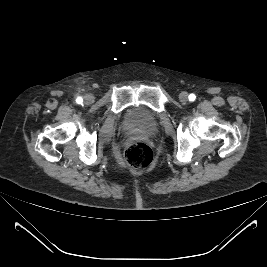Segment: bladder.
Wrapping results in <instances>:
<instances>
[{
	"label": "bladder",
	"instance_id": "bladder-1",
	"mask_svg": "<svg viewBox=\"0 0 267 267\" xmlns=\"http://www.w3.org/2000/svg\"><path fill=\"white\" fill-rule=\"evenodd\" d=\"M123 125L127 130L152 134L157 129L158 120L154 112L146 107L138 106L128 109Z\"/></svg>",
	"mask_w": 267,
	"mask_h": 267
}]
</instances>
